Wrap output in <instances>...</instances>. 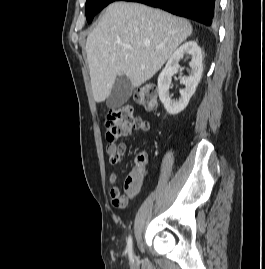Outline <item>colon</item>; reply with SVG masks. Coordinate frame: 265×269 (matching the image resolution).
Returning <instances> with one entry per match:
<instances>
[{
	"instance_id": "1",
	"label": "colon",
	"mask_w": 265,
	"mask_h": 269,
	"mask_svg": "<svg viewBox=\"0 0 265 269\" xmlns=\"http://www.w3.org/2000/svg\"><path fill=\"white\" fill-rule=\"evenodd\" d=\"M135 103L146 111H154L157 108L158 89L155 85L148 84L135 94ZM106 139L108 142H115L121 137L129 135L134 130H143L146 126L144 119L137 117L132 104H125L112 109L105 119ZM144 156L137 157L135 170L145 175L143 169Z\"/></svg>"
}]
</instances>
